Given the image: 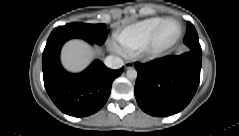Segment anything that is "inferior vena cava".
<instances>
[{
  "label": "inferior vena cava",
  "instance_id": "inferior-vena-cava-1",
  "mask_svg": "<svg viewBox=\"0 0 239 136\" xmlns=\"http://www.w3.org/2000/svg\"><path fill=\"white\" fill-rule=\"evenodd\" d=\"M123 64V60L117 56H110L105 60V65L111 69H119Z\"/></svg>",
  "mask_w": 239,
  "mask_h": 136
}]
</instances>
